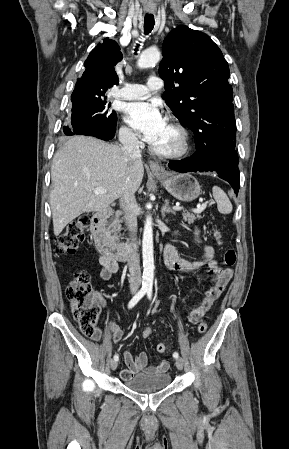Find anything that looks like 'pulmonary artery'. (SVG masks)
Listing matches in <instances>:
<instances>
[{"label": "pulmonary artery", "instance_id": "obj_1", "mask_svg": "<svg viewBox=\"0 0 289 449\" xmlns=\"http://www.w3.org/2000/svg\"><path fill=\"white\" fill-rule=\"evenodd\" d=\"M162 87V79L153 76L148 79L146 85L127 83L123 88L114 90L112 95L125 100L144 99L150 95V92L159 90Z\"/></svg>", "mask_w": 289, "mask_h": 449}]
</instances>
